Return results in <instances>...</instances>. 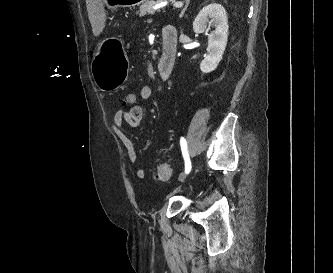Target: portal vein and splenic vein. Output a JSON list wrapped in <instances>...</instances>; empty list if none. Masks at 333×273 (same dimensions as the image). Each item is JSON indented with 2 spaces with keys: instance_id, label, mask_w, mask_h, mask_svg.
Wrapping results in <instances>:
<instances>
[{
  "instance_id": "obj_1",
  "label": "portal vein and splenic vein",
  "mask_w": 333,
  "mask_h": 273,
  "mask_svg": "<svg viewBox=\"0 0 333 273\" xmlns=\"http://www.w3.org/2000/svg\"><path fill=\"white\" fill-rule=\"evenodd\" d=\"M164 5H165V4H159V5H156V6L153 7V8H154V9H158V8L163 7ZM173 6L176 7V8H180V7L183 6V3H182V2H176V3H174Z\"/></svg>"
}]
</instances>
